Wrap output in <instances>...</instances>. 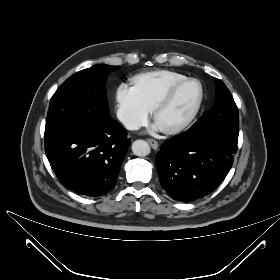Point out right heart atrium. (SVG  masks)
<instances>
[{
  "label": "right heart atrium",
  "mask_w": 280,
  "mask_h": 280,
  "mask_svg": "<svg viewBox=\"0 0 280 280\" xmlns=\"http://www.w3.org/2000/svg\"><path fill=\"white\" fill-rule=\"evenodd\" d=\"M117 116L120 122L130 130L145 125L150 109L143 103L138 92L127 83H120L116 90Z\"/></svg>",
  "instance_id": "1"
}]
</instances>
